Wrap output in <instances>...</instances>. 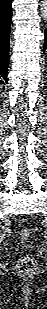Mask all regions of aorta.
I'll use <instances>...</instances> for the list:
<instances>
[{
  "instance_id": "762f6f07",
  "label": "aorta",
  "mask_w": 47,
  "mask_h": 309,
  "mask_svg": "<svg viewBox=\"0 0 47 309\" xmlns=\"http://www.w3.org/2000/svg\"><path fill=\"white\" fill-rule=\"evenodd\" d=\"M42 7H43V10L45 12L46 9H47V0H43Z\"/></svg>"
}]
</instances>
